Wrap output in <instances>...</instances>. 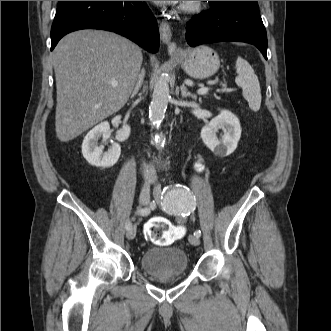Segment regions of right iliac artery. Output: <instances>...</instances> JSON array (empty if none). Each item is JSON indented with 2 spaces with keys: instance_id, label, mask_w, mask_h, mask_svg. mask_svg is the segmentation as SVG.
<instances>
[{
  "instance_id": "right-iliac-artery-1",
  "label": "right iliac artery",
  "mask_w": 331,
  "mask_h": 331,
  "mask_svg": "<svg viewBox=\"0 0 331 331\" xmlns=\"http://www.w3.org/2000/svg\"><path fill=\"white\" fill-rule=\"evenodd\" d=\"M137 213L144 216V215H148L150 213V210L148 208H142L138 210ZM131 226H132L131 222L127 220L125 225L126 229L129 230Z\"/></svg>"
}]
</instances>
